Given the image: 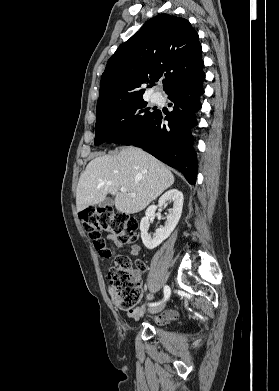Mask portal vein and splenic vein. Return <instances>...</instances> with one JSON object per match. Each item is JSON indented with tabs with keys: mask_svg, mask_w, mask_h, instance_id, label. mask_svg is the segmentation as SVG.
Returning a JSON list of instances; mask_svg holds the SVG:
<instances>
[{
	"mask_svg": "<svg viewBox=\"0 0 279 391\" xmlns=\"http://www.w3.org/2000/svg\"><path fill=\"white\" fill-rule=\"evenodd\" d=\"M120 191H121V192H126L127 189L124 188V187H121V188H120ZM131 196H135V193H131Z\"/></svg>",
	"mask_w": 279,
	"mask_h": 391,
	"instance_id": "1",
	"label": "portal vein and splenic vein"
}]
</instances>
